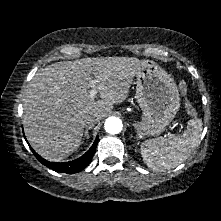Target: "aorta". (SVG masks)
Returning <instances> with one entry per match:
<instances>
[{"label":"aorta","instance_id":"aorta-1","mask_svg":"<svg viewBox=\"0 0 221 221\" xmlns=\"http://www.w3.org/2000/svg\"><path fill=\"white\" fill-rule=\"evenodd\" d=\"M122 121L117 117H109L105 121L104 128L109 134H118L122 130Z\"/></svg>","mask_w":221,"mask_h":221}]
</instances>
